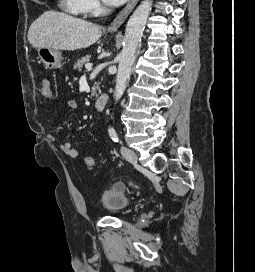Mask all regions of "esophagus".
Segmentation results:
<instances>
[{"instance_id":"obj_1","label":"esophagus","mask_w":255,"mask_h":272,"mask_svg":"<svg viewBox=\"0 0 255 272\" xmlns=\"http://www.w3.org/2000/svg\"><path fill=\"white\" fill-rule=\"evenodd\" d=\"M139 0H130L129 3L118 13L115 19L112 21L108 27L109 32L117 31V29L122 25L128 15L131 13L133 8L136 6Z\"/></svg>"}]
</instances>
